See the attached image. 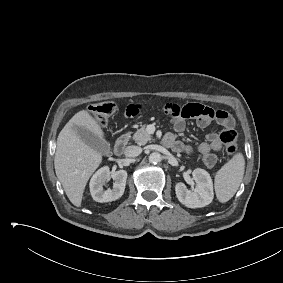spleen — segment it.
Listing matches in <instances>:
<instances>
[{
    "label": "spleen",
    "instance_id": "obj_1",
    "mask_svg": "<svg viewBox=\"0 0 283 283\" xmlns=\"http://www.w3.org/2000/svg\"><path fill=\"white\" fill-rule=\"evenodd\" d=\"M245 171V160L241 153L235 154L215 176V193L221 203L229 201L238 190Z\"/></svg>",
    "mask_w": 283,
    "mask_h": 283
}]
</instances>
